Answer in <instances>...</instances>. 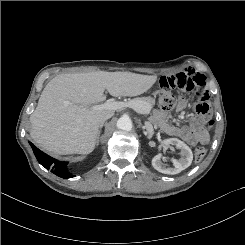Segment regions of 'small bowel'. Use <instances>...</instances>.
<instances>
[{"mask_svg":"<svg viewBox=\"0 0 245 245\" xmlns=\"http://www.w3.org/2000/svg\"><path fill=\"white\" fill-rule=\"evenodd\" d=\"M159 88L164 91L173 90L177 92L179 89L192 92L198 98L195 104L197 116H191L188 125L176 126L167 122L166 113L159 111L155 114L154 119L160 128L168 135L175 136L182 139L189 145L207 144L209 141L208 132L205 130L204 125L208 122L209 117V104L207 93L205 92L206 81L205 77L188 68L173 76H163L158 82ZM186 106L185 100H180L178 109L183 110Z\"/></svg>","mask_w":245,"mask_h":245,"instance_id":"c3829d8e","label":"small bowel"}]
</instances>
